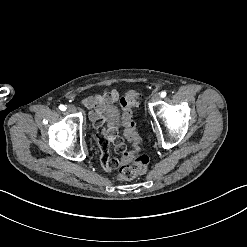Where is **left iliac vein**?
Returning a JSON list of instances; mask_svg holds the SVG:
<instances>
[{"instance_id":"left-iliac-vein-1","label":"left iliac vein","mask_w":247,"mask_h":247,"mask_svg":"<svg viewBox=\"0 0 247 247\" xmlns=\"http://www.w3.org/2000/svg\"><path fill=\"white\" fill-rule=\"evenodd\" d=\"M160 100V95H159V93H154V94H152V96H151V101L152 102H156V101H159Z\"/></svg>"}]
</instances>
